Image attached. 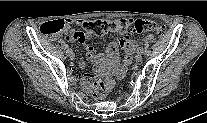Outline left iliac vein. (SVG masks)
Segmentation results:
<instances>
[{
  "mask_svg": "<svg viewBox=\"0 0 207 123\" xmlns=\"http://www.w3.org/2000/svg\"><path fill=\"white\" fill-rule=\"evenodd\" d=\"M135 60L137 63L141 62V60H142V53L141 52H138L136 54Z\"/></svg>",
  "mask_w": 207,
  "mask_h": 123,
  "instance_id": "4c4485c4",
  "label": "left iliac vein"
}]
</instances>
